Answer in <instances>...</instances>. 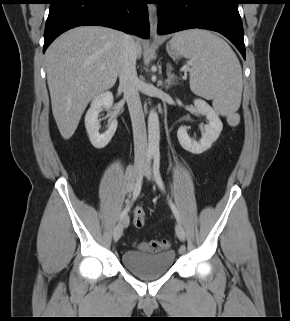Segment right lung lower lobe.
<instances>
[{
    "label": "right lung lower lobe",
    "instance_id": "obj_1",
    "mask_svg": "<svg viewBox=\"0 0 290 321\" xmlns=\"http://www.w3.org/2000/svg\"><path fill=\"white\" fill-rule=\"evenodd\" d=\"M147 0H51L43 52L61 33L84 25L107 26L149 37Z\"/></svg>",
    "mask_w": 290,
    "mask_h": 321
}]
</instances>
